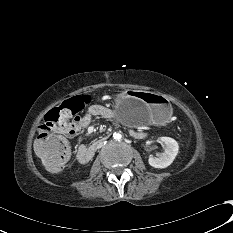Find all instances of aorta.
<instances>
[{
  "mask_svg": "<svg viewBox=\"0 0 233 233\" xmlns=\"http://www.w3.org/2000/svg\"><path fill=\"white\" fill-rule=\"evenodd\" d=\"M113 138H114L116 141H120L121 138H122V135H121L120 133H118V132H115V133L113 134Z\"/></svg>",
  "mask_w": 233,
  "mask_h": 233,
  "instance_id": "aorta-1",
  "label": "aorta"
}]
</instances>
